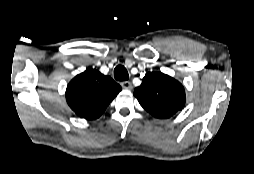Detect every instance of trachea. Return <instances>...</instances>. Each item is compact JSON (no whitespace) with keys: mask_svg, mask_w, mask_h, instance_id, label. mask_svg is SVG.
Masks as SVG:
<instances>
[{"mask_svg":"<svg viewBox=\"0 0 254 174\" xmlns=\"http://www.w3.org/2000/svg\"><path fill=\"white\" fill-rule=\"evenodd\" d=\"M114 77L118 81H126L129 78V74L123 65H118L114 69Z\"/></svg>","mask_w":254,"mask_h":174,"instance_id":"trachea-1","label":"trachea"}]
</instances>
